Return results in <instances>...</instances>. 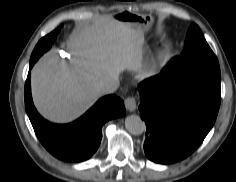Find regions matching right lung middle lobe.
I'll return each mask as SVG.
<instances>
[{"mask_svg":"<svg viewBox=\"0 0 236 182\" xmlns=\"http://www.w3.org/2000/svg\"><path fill=\"white\" fill-rule=\"evenodd\" d=\"M60 28L61 26L57 28L56 30L52 31L50 34L43 37L38 42V44L36 45L35 49L32 52L30 62L35 63L44 52H46L47 50L51 48L52 43L55 41L56 36L60 31Z\"/></svg>","mask_w":236,"mask_h":182,"instance_id":"obj_1","label":"right lung middle lobe"}]
</instances>
